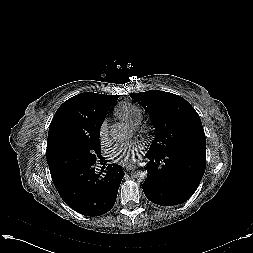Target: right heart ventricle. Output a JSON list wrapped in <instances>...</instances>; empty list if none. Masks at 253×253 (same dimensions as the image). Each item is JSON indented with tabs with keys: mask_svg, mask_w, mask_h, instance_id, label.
I'll list each match as a JSON object with an SVG mask.
<instances>
[{
	"mask_svg": "<svg viewBox=\"0 0 253 253\" xmlns=\"http://www.w3.org/2000/svg\"><path fill=\"white\" fill-rule=\"evenodd\" d=\"M115 114L133 127L139 125L143 119L141 109L131 102L120 103L116 108Z\"/></svg>",
	"mask_w": 253,
	"mask_h": 253,
	"instance_id": "obj_1",
	"label": "right heart ventricle"
}]
</instances>
